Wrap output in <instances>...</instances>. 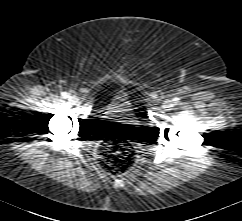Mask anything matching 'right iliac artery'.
Instances as JSON below:
<instances>
[{"instance_id": "obj_1", "label": "right iliac artery", "mask_w": 242, "mask_h": 221, "mask_svg": "<svg viewBox=\"0 0 242 221\" xmlns=\"http://www.w3.org/2000/svg\"><path fill=\"white\" fill-rule=\"evenodd\" d=\"M61 97L64 98V99H67V98H69L70 96H69V93H68V92H62V93H61Z\"/></svg>"}]
</instances>
